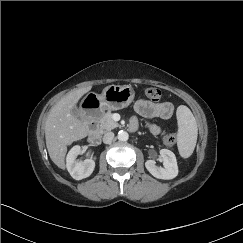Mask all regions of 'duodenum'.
Returning <instances> with one entry per match:
<instances>
[{"label":"duodenum","mask_w":243,"mask_h":243,"mask_svg":"<svg viewBox=\"0 0 243 243\" xmlns=\"http://www.w3.org/2000/svg\"><path fill=\"white\" fill-rule=\"evenodd\" d=\"M89 132H88V141L93 145L101 144V134L98 130L97 123L91 122L88 124Z\"/></svg>","instance_id":"obj_1"}]
</instances>
